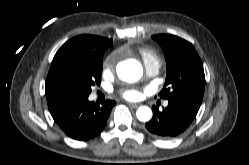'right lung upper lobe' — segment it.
Returning a JSON list of instances; mask_svg holds the SVG:
<instances>
[{
	"instance_id": "1",
	"label": "right lung upper lobe",
	"mask_w": 249,
	"mask_h": 165,
	"mask_svg": "<svg viewBox=\"0 0 249 165\" xmlns=\"http://www.w3.org/2000/svg\"><path fill=\"white\" fill-rule=\"evenodd\" d=\"M112 44V39L94 36V35H80L67 41L55 54L52 61L46 83L45 92L46 98L51 99L58 96H64L60 82L59 72L60 64L63 58L71 52H87L103 53Z\"/></svg>"
}]
</instances>
